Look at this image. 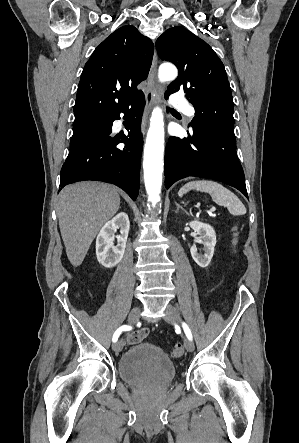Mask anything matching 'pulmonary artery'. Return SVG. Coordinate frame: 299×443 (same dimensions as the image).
Segmentation results:
<instances>
[{"mask_svg": "<svg viewBox=\"0 0 299 443\" xmlns=\"http://www.w3.org/2000/svg\"><path fill=\"white\" fill-rule=\"evenodd\" d=\"M170 102L175 108L181 110L186 116L190 118L194 116L195 112L193 107L188 104V102L181 94H172L170 97Z\"/></svg>", "mask_w": 299, "mask_h": 443, "instance_id": "1", "label": "pulmonary artery"}]
</instances>
